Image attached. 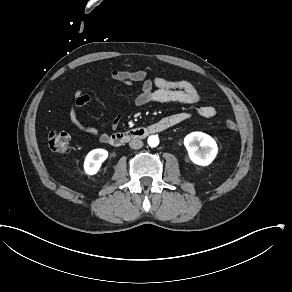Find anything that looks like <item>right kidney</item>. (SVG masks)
Returning <instances> with one entry per match:
<instances>
[{"mask_svg": "<svg viewBox=\"0 0 292 292\" xmlns=\"http://www.w3.org/2000/svg\"><path fill=\"white\" fill-rule=\"evenodd\" d=\"M107 157L108 152L104 149H95L89 152L84 162L85 172L88 175L96 174Z\"/></svg>", "mask_w": 292, "mask_h": 292, "instance_id": "obj_1", "label": "right kidney"}]
</instances>
